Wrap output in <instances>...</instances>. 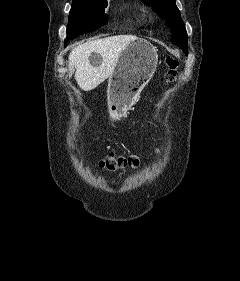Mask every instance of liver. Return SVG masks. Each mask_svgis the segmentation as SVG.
Returning <instances> with one entry per match:
<instances>
[{
    "label": "liver",
    "mask_w": 240,
    "mask_h": 281,
    "mask_svg": "<svg viewBox=\"0 0 240 281\" xmlns=\"http://www.w3.org/2000/svg\"><path fill=\"white\" fill-rule=\"evenodd\" d=\"M137 39L135 35H117L88 41L73 48L69 54V71L76 69L75 80L84 91H91L114 72L121 53ZM101 57L99 64L90 60L92 54Z\"/></svg>",
    "instance_id": "obj_1"
}]
</instances>
